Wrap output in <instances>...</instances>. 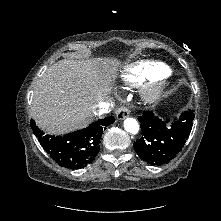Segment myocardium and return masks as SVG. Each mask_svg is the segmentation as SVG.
I'll return each mask as SVG.
<instances>
[{
    "instance_id": "1",
    "label": "myocardium",
    "mask_w": 221,
    "mask_h": 221,
    "mask_svg": "<svg viewBox=\"0 0 221 221\" xmlns=\"http://www.w3.org/2000/svg\"><path fill=\"white\" fill-rule=\"evenodd\" d=\"M161 86H153L145 91L144 96L147 100L153 101L156 100L161 94Z\"/></svg>"
}]
</instances>
